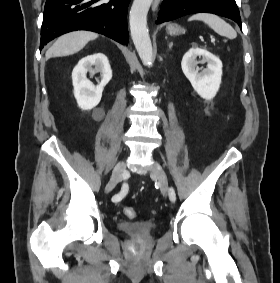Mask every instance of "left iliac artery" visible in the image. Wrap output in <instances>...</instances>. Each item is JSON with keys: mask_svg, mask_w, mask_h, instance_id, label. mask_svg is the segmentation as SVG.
I'll use <instances>...</instances> for the list:
<instances>
[{"mask_svg": "<svg viewBox=\"0 0 280 283\" xmlns=\"http://www.w3.org/2000/svg\"><path fill=\"white\" fill-rule=\"evenodd\" d=\"M169 197L172 202L176 201V194L172 187L169 189Z\"/></svg>", "mask_w": 280, "mask_h": 283, "instance_id": "obj_1", "label": "left iliac artery"}]
</instances>
